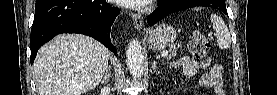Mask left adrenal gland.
<instances>
[{
  "instance_id": "left-adrenal-gland-1",
  "label": "left adrenal gland",
  "mask_w": 277,
  "mask_h": 95,
  "mask_svg": "<svg viewBox=\"0 0 277 95\" xmlns=\"http://www.w3.org/2000/svg\"><path fill=\"white\" fill-rule=\"evenodd\" d=\"M152 68H153L154 70H155V68H156V61H155V60L153 61Z\"/></svg>"
}]
</instances>
